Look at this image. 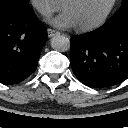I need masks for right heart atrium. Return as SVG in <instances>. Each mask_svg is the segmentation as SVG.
<instances>
[{"label":"right heart atrium","instance_id":"d8ad5b80","mask_svg":"<svg viewBox=\"0 0 128 128\" xmlns=\"http://www.w3.org/2000/svg\"><path fill=\"white\" fill-rule=\"evenodd\" d=\"M33 7L45 17L52 15L58 11L62 2L60 0H30Z\"/></svg>","mask_w":128,"mask_h":128}]
</instances>
